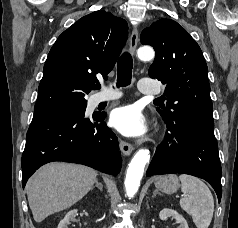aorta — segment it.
I'll return each mask as SVG.
<instances>
[{"instance_id":"762f6f07","label":"aorta","mask_w":238,"mask_h":228,"mask_svg":"<svg viewBox=\"0 0 238 228\" xmlns=\"http://www.w3.org/2000/svg\"><path fill=\"white\" fill-rule=\"evenodd\" d=\"M137 55L142 61H149L154 58V50L149 46L140 47ZM150 160V152L148 149H140L132 158L127 169L125 178L126 195L129 198L134 197L137 193L140 181L143 177L144 168Z\"/></svg>"}]
</instances>
